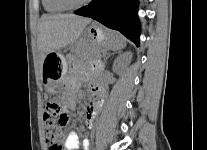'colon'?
<instances>
[{"mask_svg": "<svg viewBox=\"0 0 207 150\" xmlns=\"http://www.w3.org/2000/svg\"><path fill=\"white\" fill-rule=\"evenodd\" d=\"M68 122L66 109L56 100L47 102L45 109V139L48 150H64V127Z\"/></svg>", "mask_w": 207, "mask_h": 150, "instance_id": "5ec220e1", "label": "colon"}]
</instances>
